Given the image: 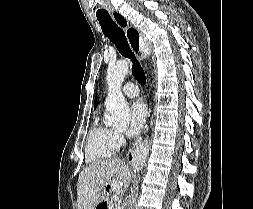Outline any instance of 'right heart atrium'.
Listing matches in <instances>:
<instances>
[{
	"mask_svg": "<svg viewBox=\"0 0 253 209\" xmlns=\"http://www.w3.org/2000/svg\"><path fill=\"white\" fill-rule=\"evenodd\" d=\"M114 141L117 146H120L123 143V136L119 132H114Z\"/></svg>",
	"mask_w": 253,
	"mask_h": 209,
	"instance_id": "right-heart-atrium-1",
	"label": "right heart atrium"
}]
</instances>
